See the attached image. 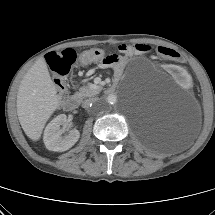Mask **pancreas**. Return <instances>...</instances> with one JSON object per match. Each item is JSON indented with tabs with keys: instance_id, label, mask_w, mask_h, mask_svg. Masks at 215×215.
<instances>
[{
	"instance_id": "obj_1",
	"label": "pancreas",
	"mask_w": 215,
	"mask_h": 215,
	"mask_svg": "<svg viewBox=\"0 0 215 215\" xmlns=\"http://www.w3.org/2000/svg\"><path fill=\"white\" fill-rule=\"evenodd\" d=\"M102 90V86L96 84H89L88 86H83L79 89L75 95L80 98L92 97L97 95Z\"/></svg>"
}]
</instances>
